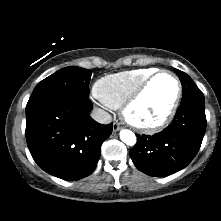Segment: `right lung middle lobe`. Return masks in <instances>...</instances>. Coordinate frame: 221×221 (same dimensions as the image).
I'll use <instances>...</instances> for the list:
<instances>
[{"label": "right lung middle lobe", "mask_w": 221, "mask_h": 221, "mask_svg": "<svg viewBox=\"0 0 221 221\" xmlns=\"http://www.w3.org/2000/svg\"><path fill=\"white\" fill-rule=\"evenodd\" d=\"M91 71L70 66L45 78L34 88L27 105L63 95L89 96Z\"/></svg>", "instance_id": "1"}]
</instances>
